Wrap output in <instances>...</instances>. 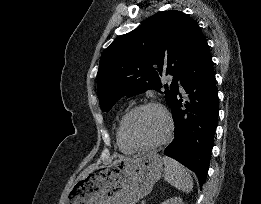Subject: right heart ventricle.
I'll return each mask as SVG.
<instances>
[{
    "mask_svg": "<svg viewBox=\"0 0 261 204\" xmlns=\"http://www.w3.org/2000/svg\"><path fill=\"white\" fill-rule=\"evenodd\" d=\"M115 139H116V144L118 149L125 154H130L132 153L134 150H132L131 148H129L122 140L121 136H120V122L117 125L116 131H115Z\"/></svg>",
    "mask_w": 261,
    "mask_h": 204,
    "instance_id": "obj_1",
    "label": "right heart ventricle"
}]
</instances>
